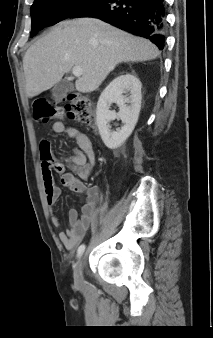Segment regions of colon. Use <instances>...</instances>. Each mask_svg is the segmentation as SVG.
Returning <instances> with one entry per match:
<instances>
[{
  "label": "colon",
  "mask_w": 213,
  "mask_h": 338,
  "mask_svg": "<svg viewBox=\"0 0 213 338\" xmlns=\"http://www.w3.org/2000/svg\"><path fill=\"white\" fill-rule=\"evenodd\" d=\"M64 107L51 101L47 97H38L32 104V113L36 121L47 123L52 118L62 117L66 112L72 119L91 127L95 123L92 102L82 94H70L65 100Z\"/></svg>",
  "instance_id": "obj_1"
}]
</instances>
